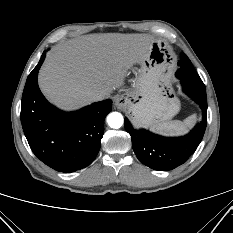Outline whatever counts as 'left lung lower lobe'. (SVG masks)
<instances>
[{"mask_svg": "<svg viewBox=\"0 0 233 233\" xmlns=\"http://www.w3.org/2000/svg\"><path fill=\"white\" fill-rule=\"evenodd\" d=\"M189 58L181 53L180 67L176 76L181 80L183 91L197 102L203 110V120L189 134L179 138L155 135L144 129L135 130L125 118V129L132 139L137 158L146 166L159 171L172 170L183 164L200 144L207 124V97L205 86L191 83Z\"/></svg>", "mask_w": 233, "mask_h": 233, "instance_id": "0a47b994", "label": "left lung lower lobe"}]
</instances>
